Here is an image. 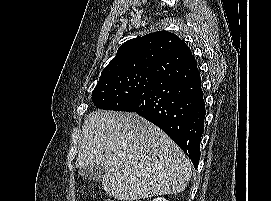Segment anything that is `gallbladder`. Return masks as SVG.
<instances>
[{
    "label": "gallbladder",
    "instance_id": "obj_1",
    "mask_svg": "<svg viewBox=\"0 0 271 201\" xmlns=\"http://www.w3.org/2000/svg\"><path fill=\"white\" fill-rule=\"evenodd\" d=\"M79 173L84 179L101 181L105 171L101 165L94 164L79 169Z\"/></svg>",
    "mask_w": 271,
    "mask_h": 201
}]
</instances>
